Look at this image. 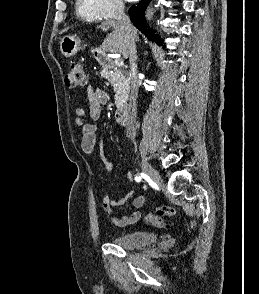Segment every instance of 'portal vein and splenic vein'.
Here are the masks:
<instances>
[{"instance_id": "portal-vein-and-splenic-vein-1", "label": "portal vein and splenic vein", "mask_w": 259, "mask_h": 294, "mask_svg": "<svg viewBox=\"0 0 259 294\" xmlns=\"http://www.w3.org/2000/svg\"><path fill=\"white\" fill-rule=\"evenodd\" d=\"M114 63H115V65L118 66V67L123 66V61H122V59H115Z\"/></svg>"}]
</instances>
